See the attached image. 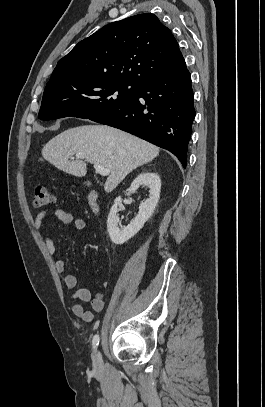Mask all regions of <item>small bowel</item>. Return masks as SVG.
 I'll list each match as a JSON object with an SVG mask.
<instances>
[{
	"mask_svg": "<svg viewBox=\"0 0 265 407\" xmlns=\"http://www.w3.org/2000/svg\"><path fill=\"white\" fill-rule=\"evenodd\" d=\"M53 213L58 221L63 225L73 224L76 230H83L86 227V222L83 218H75L73 214L64 211L62 209H43L38 212L35 217L34 225L36 229H40L44 219ZM45 246L47 252L55 257L54 265L59 273H63L66 269L65 261L57 256V248L54 240L50 236L44 238ZM63 282L66 288L74 290L72 298L76 299L77 302L73 303L71 306L72 313L80 317L86 322H91L93 320V311L100 312L104 308V298L102 294H96L92 296L91 291L85 287H77V279L73 274H65L63 276ZM90 302L93 311L86 308L85 303Z\"/></svg>",
	"mask_w": 265,
	"mask_h": 407,
	"instance_id": "1",
	"label": "small bowel"
}]
</instances>
